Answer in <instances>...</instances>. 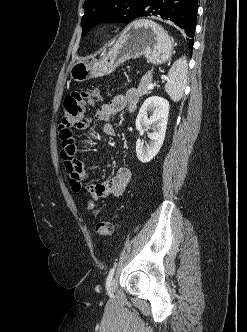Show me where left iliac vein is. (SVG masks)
<instances>
[{
  "label": "left iliac vein",
  "mask_w": 247,
  "mask_h": 332,
  "mask_svg": "<svg viewBox=\"0 0 247 332\" xmlns=\"http://www.w3.org/2000/svg\"><path fill=\"white\" fill-rule=\"evenodd\" d=\"M117 288V281L115 279H112L107 287L108 293H114Z\"/></svg>",
  "instance_id": "left-iliac-vein-1"
}]
</instances>
